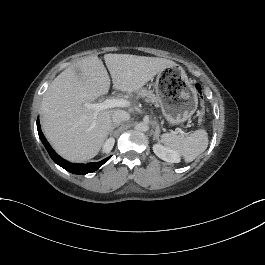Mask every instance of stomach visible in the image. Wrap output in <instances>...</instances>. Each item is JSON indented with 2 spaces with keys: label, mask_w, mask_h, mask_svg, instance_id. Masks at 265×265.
I'll return each mask as SVG.
<instances>
[{
  "label": "stomach",
  "mask_w": 265,
  "mask_h": 265,
  "mask_svg": "<svg viewBox=\"0 0 265 265\" xmlns=\"http://www.w3.org/2000/svg\"><path fill=\"white\" fill-rule=\"evenodd\" d=\"M154 88L158 105L169 124H181L196 111L197 93L180 66H169L160 71Z\"/></svg>",
  "instance_id": "obj_1"
}]
</instances>
